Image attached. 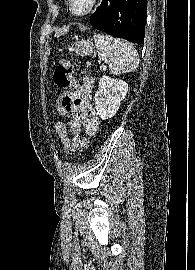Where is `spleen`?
<instances>
[{
  "label": "spleen",
  "instance_id": "spleen-1",
  "mask_svg": "<svg viewBox=\"0 0 195 270\" xmlns=\"http://www.w3.org/2000/svg\"><path fill=\"white\" fill-rule=\"evenodd\" d=\"M99 59L109 65L111 74L134 71L139 65L137 50L128 42L104 34L94 35Z\"/></svg>",
  "mask_w": 195,
  "mask_h": 270
}]
</instances>
